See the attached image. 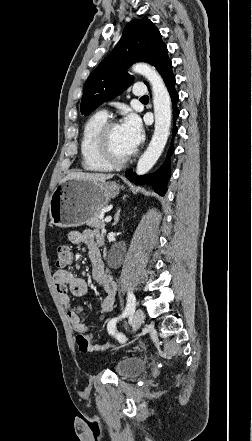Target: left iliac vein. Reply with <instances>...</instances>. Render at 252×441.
<instances>
[{
  "instance_id": "left-iliac-vein-1",
  "label": "left iliac vein",
  "mask_w": 252,
  "mask_h": 441,
  "mask_svg": "<svg viewBox=\"0 0 252 441\" xmlns=\"http://www.w3.org/2000/svg\"><path fill=\"white\" fill-rule=\"evenodd\" d=\"M145 318V314L143 312V310L141 309H137L134 313V316L132 318V327H133V331H137L140 326L142 325L143 321Z\"/></svg>"
}]
</instances>
